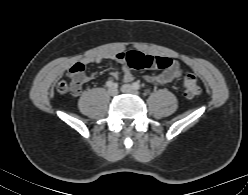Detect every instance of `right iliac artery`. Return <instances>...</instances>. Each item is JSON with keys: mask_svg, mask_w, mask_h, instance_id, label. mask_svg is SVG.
<instances>
[{"mask_svg": "<svg viewBox=\"0 0 248 195\" xmlns=\"http://www.w3.org/2000/svg\"><path fill=\"white\" fill-rule=\"evenodd\" d=\"M106 85H107L108 87H113V86H116L117 84L114 83L113 81H107Z\"/></svg>", "mask_w": 248, "mask_h": 195, "instance_id": "1", "label": "right iliac artery"}]
</instances>
